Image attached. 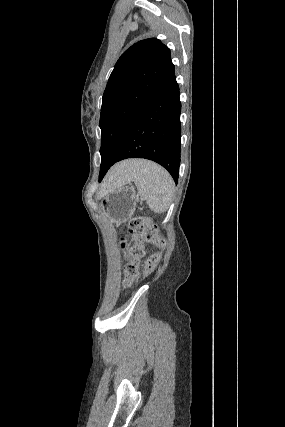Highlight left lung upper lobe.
Wrapping results in <instances>:
<instances>
[{
    "label": "left lung upper lobe",
    "mask_w": 285,
    "mask_h": 427,
    "mask_svg": "<svg viewBox=\"0 0 285 427\" xmlns=\"http://www.w3.org/2000/svg\"><path fill=\"white\" fill-rule=\"evenodd\" d=\"M173 71L170 49L156 38L139 41L121 55L102 99L99 181L113 165L132 119Z\"/></svg>",
    "instance_id": "left-lung-upper-lobe-1"
}]
</instances>
